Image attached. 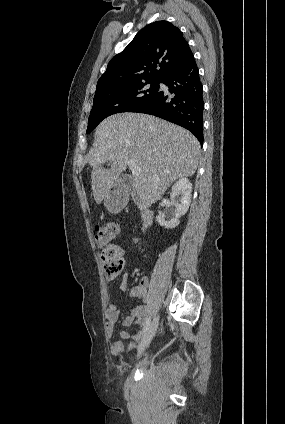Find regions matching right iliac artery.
Masks as SVG:
<instances>
[{
    "label": "right iliac artery",
    "mask_w": 285,
    "mask_h": 424,
    "mask_svg": "<svg viewBox=\"0 0 285 424\" xmlns=\"http://www.w3.org/2000/svg\"><path fill=\"white\" fill-rule=\"evenodd\" d=\"M150 318H148L147 320H146V324H145V326H144V328H143V332H142V334H144L147 330H148V328H149V326H150Z\"/></svg>",
    "instance_id": "right-iliac-artery-1"
}]
</instances>
